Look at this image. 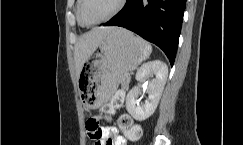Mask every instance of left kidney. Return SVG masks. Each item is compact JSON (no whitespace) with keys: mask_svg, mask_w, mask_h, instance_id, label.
Wrapping results in <instances>:
<instances>
[{"mask_svg":"<svg viewBox=\"0 0 243 145\" xmlns=\"http://www.w3.org/2000/svg\"><path fill=\"white\" fill-rule=\"evenodd\" d=\"M151 74H154L155 77L147 86L148 99L145 100V103L138 105L136 99L140 91V84L131 89L126 96V109L137 121H144L155 112L167 80L168 67L160 60L147 62L137 70L136 80L143 83Z\"/></svg>","mask_w":243,"mask_h":145,"instance_id":"1","label":"left kidney"}]
</instances>
